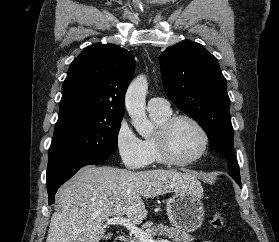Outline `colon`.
Returning a JSON list of instances; mask_svg holds the SVG:
<instances>
[{
  "label": "colon",
  "mask_w": 279,
  "mask_h": 242,
  "mask_svg": "<svg viewBox=\"0 0 279 242\" xmlns=\"http://www.w3.org/2000/svg\"><path fill=\"white\" fill-rule=\"evenodd\" d=\"M211 224L216 229L223 228L225 224L223 216L218 212L214 213L211 219Z\"/></svg>",
  "instance_id": "colon-1"
}]
</instances>
